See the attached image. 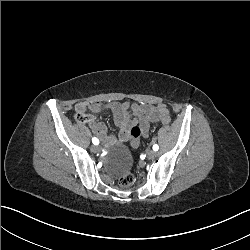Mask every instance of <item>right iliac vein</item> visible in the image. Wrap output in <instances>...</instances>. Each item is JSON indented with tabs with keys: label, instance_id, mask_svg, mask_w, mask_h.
I'll return each mask as SVG.
<instances>
[{
	"label": "right iliac vein",
	"instance_id": "right-iliac-vein-1",
	"mask_svg": "<svg viewBox=\"0 0 250 250\" xmlns=\"http://www.w3.org/2000/svg\"><path fill=\"white\" fill-rule=\"evenodd\" d=\"M91 151L94 152V153H98L100 151V147L96 146V145H93L91 147Z\"/></svg>",
	"mask_w": 250,
	"mask_h": 250
}]
</instances>
